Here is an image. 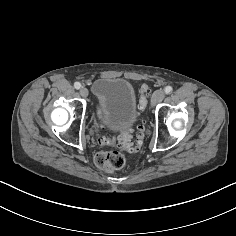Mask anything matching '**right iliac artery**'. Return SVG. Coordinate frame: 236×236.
I'll list each match as a JSON object with an SVG mask.
<instances>
[{
  "mask_svg": "<svg viewBox=\"0 0 236 236\" xmlns=\"http://www.w3.org/2000/svg\"><path fill=\"white\" fill-rule=\"evenodd\" d=\"M74 87H75L76 89H80V88H81V84H80L79 82H75V83H74Z\"/></svg>",
  "mask_w": 236,
  "mask_h": 236,
  "instance_id": "82829eb1",
  "label": "right iliac artery"
}]
</instances>
